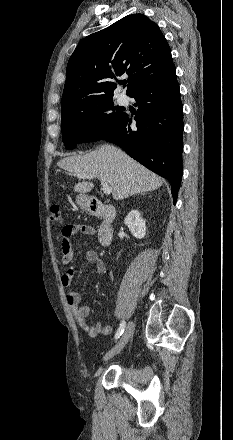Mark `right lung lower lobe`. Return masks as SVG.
<instances>
[{"label": "right lung lower lobe", "instance_id": "right-lung-lower-lobe-1", "mask_svg": "<svg viewBox=\"0 0 233 440\" xmlns=\"http://www.w3.org/2000/svg\"><path fill=\"white\" fill-rule=\"evenodd\" d=\"M139 105L134 118L125 114L102 139L121 147L128 155L171 183L174 204L182 178L183 106L175 66L130 95Z\"/></svg>", "mask_w": 233, "mask_h": 440}]
</instances>
